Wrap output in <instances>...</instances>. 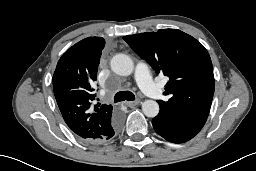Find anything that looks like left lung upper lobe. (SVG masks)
Segmentation results:
<instances>
[{
    "label": "left lung upper lobe",
    "mask_w": 256,
    "mask_h": 171,
    "mask_svg": "<svg viewBox=\"0 0 256 171\" xmlns=\"http://www.w3.org/2000/svg\"><path fill=\"white\" fill-rule=\"evenodd\" d=\"M123 39L157 74L169 78L164 94L170 99L158 100L160 107L172 108L203 127L214 94V75L211 58L200 42L177 29H160Z\"/></svg>",
    "instance_id": "left-lung-upper-lobe-1"
}]
</instances>
